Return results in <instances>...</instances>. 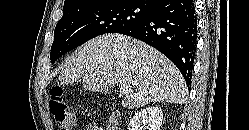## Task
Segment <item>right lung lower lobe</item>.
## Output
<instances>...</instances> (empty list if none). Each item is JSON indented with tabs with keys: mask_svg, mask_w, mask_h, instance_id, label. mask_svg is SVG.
Wrapping results in <instances>:
<instances>
[{
	"mask_svg": "<svg viewBox=\"0 0 249 130\" xmlns=\"http://www.w3.org/2000/svg\"><path fill=\"white\" fill-rule=\"evenodd\" d=\"M139 39L168 57L191 84L197 44V17L192 0H161L141 22L119 32Z\"/></svg>",
	"mask_w": 249,
	"mask_h": 130,
	"instance_id": "right-lung-lower-lobe-1",
	"label": "right lung lower lobe"
}]
</instances>
